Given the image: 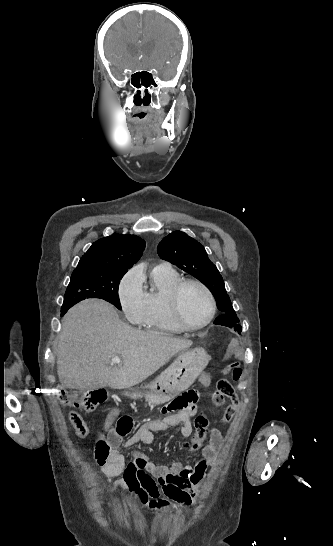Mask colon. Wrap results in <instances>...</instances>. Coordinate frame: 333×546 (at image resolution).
<instances>
[{
  "mask_svg": "<svg viewBox=\"0 0 333 546\" xmlns=\"http://www.w3.org/2000/svg\"><path fill=\"white\" fill-rule=\"evenodd\" d=\"M234 346L235 349L237 348L236 343L230 342L227 345V349L229 346ZM226 349V351H227ZM227 353V352H225ZM225 355V354H224ZM243 361L240 358H235L231 364H229L226 368V372L228 375L233 376L231 378V383L234 386H239L242 383L243 378ZM227 379L221 378L217 382L216 390L212 394V402L215 406L221 407L224 406L226 400L230 401L231 403H237L238 398L237 394L235 392L234 387ZM61 402L65 406L74 407L77 409H82L84 411H93L95 410L99 405L104 403L106 400V393L104 391H92L87 392L81 396L78 397H71L66 394L61 395ZM196 403V394L193 391H189L187 393L182 394L178 398H176L169 407L171 408H182L191 406L194 408V404ZM69 422L73 426L75 432L77 435H86L88 434V428L87 425L83 419V417L77 413V412H70L68 415ZM195 426V432L192 437V443H191V450L197 451L199 450L203 443L208 438V419L206 415L203 413H200L195 418L194 422ZM130 431V425L122 420H118L115 427L114 432L119 436H125ZM116 444V439L114 438H108L107 436L99 437L95 444L94 449V455L97 460H103L107 458L111 452V449L113 445Z\"/></svg>",
  "mask_w": 333,
  "mask_h": 546,
  "instance_id": "colon-1",
  "label": "colon"
}]
</instances>
